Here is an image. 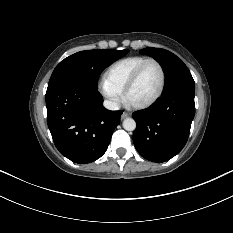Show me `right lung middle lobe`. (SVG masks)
<instances>
[{"label": "right lung middle lobe", "instance_id": "dd1d6c3e", "mask_svg": "<svg viewBox=\"0 0 233 233\" xmlns=\"http://www.w3.org/2000/svg\"><path fill=\"white\" fill-rule=\"evenodd\" d=\"M129 50L95 49L77 52L62 60L54 69L48 85L74 82L97 89L101 72Z\"/></svg>", "mask_w": 233, "mask_h": 233}]
</instances>
